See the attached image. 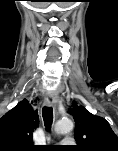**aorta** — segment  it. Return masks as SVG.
I'll return each instance as SVG.
<instances>
[{"instance_id": "1", "label": "aorta", "mask_w": 118, "mask_h": 151, "mask_svg": "<svg viewBox=\"0 0 118 151\" xmlns=\"http://www.w3.org/2000/svg\"><path fill=\"white\" fill-rule=\"evenodd\" d=\"M74 124L69 118L60 119L55 124V131L58 134L69 133L73 130Z\"/></svg>"}]
</instances>
